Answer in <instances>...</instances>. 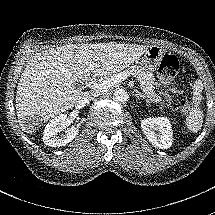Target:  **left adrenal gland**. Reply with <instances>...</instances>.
Here are the masks:
<instances>
[{"label": "left adrenal gland", "instance_id": "obj_1", "mask_svg": "<svg viewBox=\"0 0 215 215\" xmlns=\"http://www.w3.org/2000/svg\"><path fill=\"white\" fill-rule=\"evenodd\" d=\"M135 97H136L137 100H143V101L146 100L144 98L143 94L141 92H138V91L135 93Z\"/></svg>", "mask_w": 215, "mask_h": 215}]
</instances>
